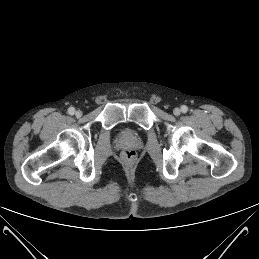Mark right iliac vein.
<instances>
[{"label": "right iliac vein", "instance_id": "right-iliac-vein-1", "mask_svg": "<svg viewBox=\"0 0 259 259\" xmlns=\"http://www.w3.org/2000/svg\"><path fill=\"white\" fill-rule=\"evenodd\" d=\"M75 115L78 118L81 117L82 116V111H80V110L76 111Z\"/></svg>", "mask_w": 259, "mask_h": 259}]
</instances>
